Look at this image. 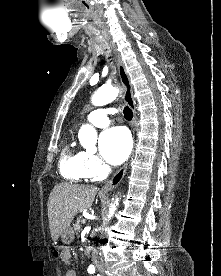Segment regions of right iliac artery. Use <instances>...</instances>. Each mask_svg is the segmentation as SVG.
<instances>
[{
    "mask_svg": "<svg viewBox=\"0 0 221 276\" xmlns=\"http://www.w3.org/2000/svg\"><path fill=\"white\" fill-rule=\"evenodd\" d=\"M88 272L89 273H94L95 272V268L94 267H89L88 268Z\"/></svg>",
    "mask_w": 221,
    "mask_h": 276,
    "instance_id": "1",
    "label": "right iliac artery"
}]
</instances>
